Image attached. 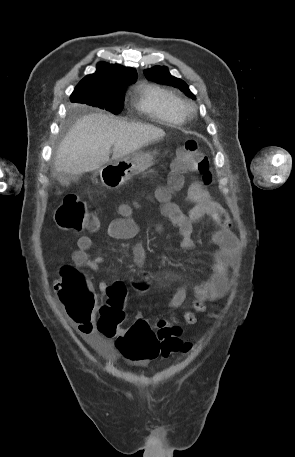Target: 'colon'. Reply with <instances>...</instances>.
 I'll list each match as a JSON object with an SVG mask.
<instances>
[{"label":"colon","instance_id":"5ec220e1","mask_svg":"<svg viewBox=\"0 0 295 457\" xmlns=\"http://www.w3.org/2000/svg\"><path fill=\"white\" fill-rule=\"evenodd\" d=\"M188 172H199L204 184H211L209 161L193 139L187 140L176 151L169 178L171 188L179 189L183 183L182 175ZM159 197L168 198V195L161 191ZM55 218L58 226L66 230L95 231L99 226L97 218L88 211L85 202L74 194L64 198ZM131 288L136 293H148L153 288V279L148 274H136L131 279ZM55 290L69 317L83 322L92 319L95 308L94 293L88 280L78 269L73 266L63 267L55 282ZM107 295L108 303L99 309L96 328L106 337H117L115 347L120 359L158 360L159 356L168 357L179 351L182 355H187L189 350H193V341H181V328L170 326L166 320L158 322L157 333L144 319L137 320L128 330L122 331L121 308L126 296L124 285H114L108 289Z\"/></svg>","mask_w":295,"mask_h":457}]
</instances>
